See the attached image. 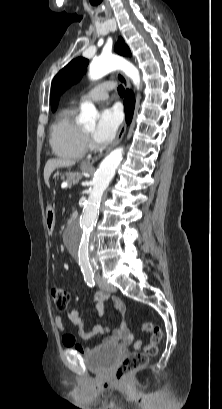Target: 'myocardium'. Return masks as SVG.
Here are the masks:
<instances>
[{
    "mask_svg": "<svg viewBox=\"0 0 222 409\" xmlns=\"http://www.w3.org/2000/svg\"><path fill=\"white\" fill-rule=\"evenodd\" d=\"M82 133H83L84 145L88 147L89 149H93L94 146H93L91 137L89 133L85 130V128L82 129Z\"/></svg>",
    "mask_w": 222,
    "mask_h": 409,
    "instance_id": "f54148a6",
    "label": "myocardium"
}]
</instances>
